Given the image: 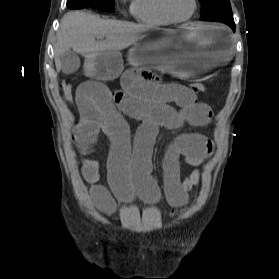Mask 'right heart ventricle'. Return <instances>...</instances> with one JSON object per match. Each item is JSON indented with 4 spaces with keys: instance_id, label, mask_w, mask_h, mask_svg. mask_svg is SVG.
Segmentation results:
<instances>
[{
    "instance_id": "obj_1",
    "label": "right heart ventricle",
    "mask_w": 279,
    "mask_h": 279,
    "mask_svg": "<svg viewBox=\"0 0 279 279\" xmlns=\"http://www.w3.org/2000/svg\"><path fill=\"white\" fill-rule=\"evenodd\" d=\"M131 11L139 22L150 26H168L173 24L163 14L159 0H132Z\"/></svg>"
}]
</instances>
